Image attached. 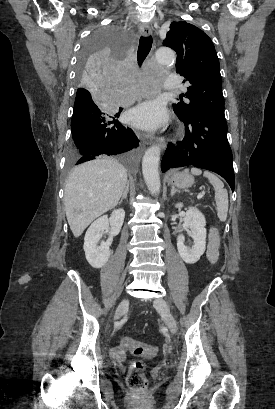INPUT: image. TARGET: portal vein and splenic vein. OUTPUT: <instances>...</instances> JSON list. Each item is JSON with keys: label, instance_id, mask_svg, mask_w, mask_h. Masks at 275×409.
I'll return each instance as SVG.
<instances>
[{"label": "portal vein and splenic vein", "instance_id": "portal-vein-and-splenic-vein-1", "mask_svg": "<svg viewBox=\"0 0 275 409\" xmlns=\"http://www.w3.org/2000/svg\"><path fill=\"white\" fill-rule=\"evenodd\" d=\"M203 194H205L204 190L201 192V194H198L197 198H202Z\"/></svg>", "mask_w": 275, "mask_h": 409}]
</instances>
